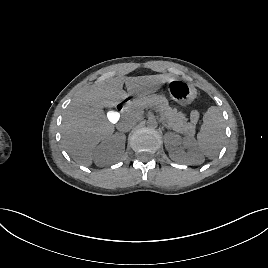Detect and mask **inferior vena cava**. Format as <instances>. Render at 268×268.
Listing matches in <instances>:
<instances>
[{"label":"inferior vena cava","mask_w":268,"mask_h":268,"mask_svg":"<svg viewBox=\"0 0 268 268\" xmlns=\"http://www.w3.org/2000/svg\"><path fill=\"white\" fill-rule=\"evenodd\" d=\"M137 123V119L133 116L125 117L118 125L117 128L120 131L126 132L132 129V127Z\"/></svg>","instance_id":"inferior-vena-cava-1"}]
</instances>
